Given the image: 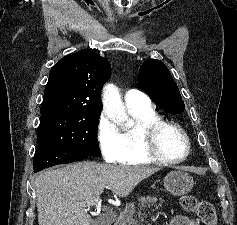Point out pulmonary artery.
Wrapping results in <instances>:
<instances>
[{
    "instance_id": "e3ab8cb5",
    "label": "pulmonary artery",
    "mask_w": 237,
    "mask_h": 225,
    "mask_svg": "<svg viewBox=\"0 0 237 225\" xmlns=\"http://www.w3.org/2000/svg\"><path fill=\"white\" fill-rule=\"evenodd\" d=\"M125 103L128 106V108H135V107L145 108L149 107L151 104L148 96L136 89H130L126 92Z\"/></svg>"
}]
</instances>
